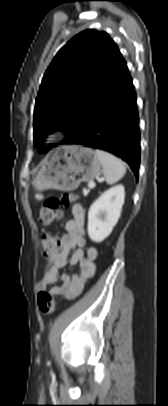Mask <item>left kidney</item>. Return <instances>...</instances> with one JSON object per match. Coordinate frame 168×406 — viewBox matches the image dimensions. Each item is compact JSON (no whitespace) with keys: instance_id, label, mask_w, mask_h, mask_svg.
<instances>
[{"instance_id":"left-kidney-1","label":"left kidney","mask_w":168,"mask_h":406,"mask_svg":"<svg viewBox=\"0 0 168 406\" xmlns=\"http://www.w3.org/2000/svg\"><path fill=\"white\" fill-rule=\"evenodd\" d=\"M124 198V186L117 185L102 193L90 206L87 231L92 241L102 242L111 234L120 218Z\"/></svg>"}]
</instances>
